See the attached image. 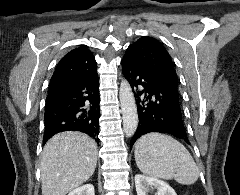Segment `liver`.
Listing matches in <instances>:
<instances>
[{"mask_svg": "<svg viewBox=\"0 0 240 195\" xmlns=\"http://www.w3.org/2000/svg\"><path fill=\"white\" fill-rule=\"evenodd\" d=\"M95 139L81 131H62L43 147L40 171L42 195H66L91 177L97 165Z\"/></svg>", "mask_w": 240, "mask_h": 195, "instance_id": "obj_1", "label": "liver"}]
</instances>
